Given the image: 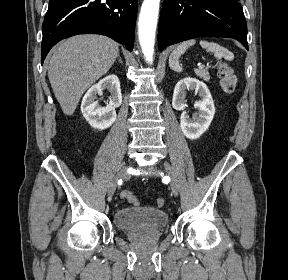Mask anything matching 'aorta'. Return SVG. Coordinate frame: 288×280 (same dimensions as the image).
<instances>
[{
	"mask_svg": "<svg viewBox=\"0 0 288 280\" xmlns=\"http://www.w3.org/2000/svg\"><path fill=\"white\" fill-rule=\"evenodd\" d=\"M160 0H144L138 22L139 42L148 63L153 61Z\"/></svg>",
	"mask_w": 288,
	"mask_h": 280,
	"instance_id": "762f6f07",
	"label": "aorta"
}]
</instances>
